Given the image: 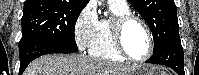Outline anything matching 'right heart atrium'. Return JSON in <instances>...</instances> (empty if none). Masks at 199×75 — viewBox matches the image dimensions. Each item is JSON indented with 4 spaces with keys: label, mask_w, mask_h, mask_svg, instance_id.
I'll return each instance as SVG.
<instances>
[{
    "label": "right heart atrium",
    "mask_w": 199,
    "mask_h": 75,
    "mask_svg": "<svg viewBox=\"0 0 199 75\" xmlns=\"http://www.w3.org/2000/svg\"><path fill=\"white\" fill-rule=\"evenodd\" d=\"M99 29V19L96 11L87 6L78 16L74 25V36L80 50L90 48Z\"/></svg>",
    "instance_id": "d8ad5b80"
}]
</instances>
